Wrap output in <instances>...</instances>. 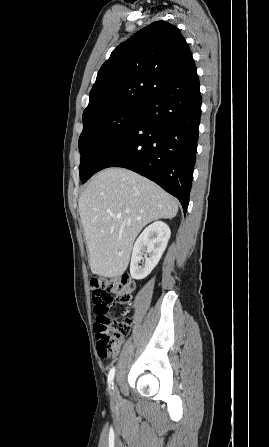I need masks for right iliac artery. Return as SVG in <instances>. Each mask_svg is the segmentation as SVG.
I'll return each instance as SVG.
<instances>
[{
	"label": "right iliac artery",
	"instance_id": "right-iliac-artery-1",
	"mask_svg": "<svg viewBox=\"0 0 269 447\" xmlns=\"http://www.w3.org/2000/svg\"><path fill=\"white\" fill-rule=\"evenodd\" d=\"M114 375H115V368H112V369L110 370V372H109V375H108V384H109V387H111V385H113Z\"/></svg>",
	"mask_w": 269,
	"mask_h": 447
}]
</instances>
